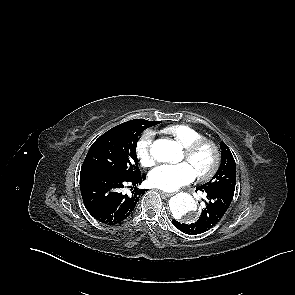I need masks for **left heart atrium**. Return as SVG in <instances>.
<instances>
[{"instance_id": "left-heart-atrium-1", "label": "left heart atrium", "mask_w": 295, "mask_h": 295, "mask_svg": "<svg viewBox=\"0 0 295 295\" xmlns=\"http://www.w3.org/2000/svg\"><path fill=\"white\" fill-rule=\"evenodd\" d=\"M196 175L192 166L187 162L164 164L150 172L149 182L156 188L175 191L194 181Z\"/></svg>"}]
</instances>
